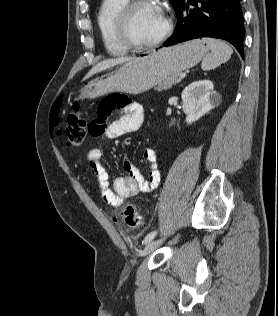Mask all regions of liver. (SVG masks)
Wrapping results in <instances>:
<instances>
[{
  "instance_id": "1",
  "label": "liver",
  "mask_w": 278,
  "mask_h": 316,
  "mask_svg": "<svg viewBox=\"0 0 278 316\" xmlns=\"http://www.w3.org/2000/svg\"><path fill=\"white\" fill-rule=\"evenodd\" d=\"M138 59L137 57H120L116 59H108V60H103L99 62L97 65H95L89 72L88 74L84 77V80L90 78L96 73H99L103 70H106L108 68L114 67L118 64L126 63V62H131L135 61Z\"/></svg>"
}]
</instances>
